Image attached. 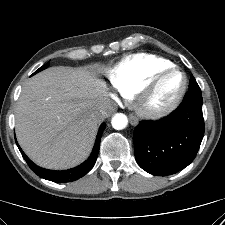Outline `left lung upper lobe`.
<instances>
[{
    "label": "left lung upper lobe",
    "mask_w": 225,
    "mask_h": 225,
    "mask_svg": "<svg viewBox=\"0 0 225 225\" xmlns=\"http://www.w3.org/2000/svg\"><path fill=\"white\" fill-rule=\"evenodd\" d=\"M189 90L201 91L194 77H191Z\"/></svg>",
    "instance_id": "1"
}]
</instances>
